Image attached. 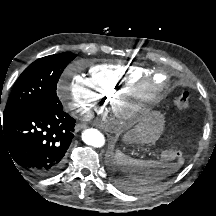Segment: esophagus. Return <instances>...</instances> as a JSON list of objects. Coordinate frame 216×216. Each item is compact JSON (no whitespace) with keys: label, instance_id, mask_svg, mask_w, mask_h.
<instances>
[{"label":"esophagus","instance_id":"esophagus-1","mask_svg":"<svg viewBox=\"0 0 216 216\" xmlns=\"http://www.w3.org/2000/svg\"><path fill=\"white\" fill-rule=\"evenodd\" d=\"M86 127H87V125L84 124V123H77L76 126H75V131L79 132L81 129H84Z\"/></svg>","mask_w":216,"mask_h":216}]
</instances>
